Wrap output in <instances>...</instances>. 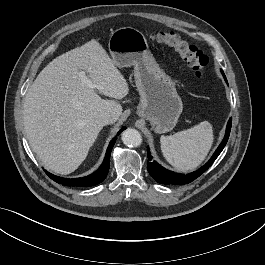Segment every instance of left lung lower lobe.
I'll return each instance as SVG.
<instances>
[{
	"mask_svg": "<svg viewBox=\"0 0 265 265\" xmlns=\"http://www.w3.org/2000/svg\"><path fill=\"white\" fill-rule=\"evenodd\" d=\"M223 77L226 80V77L222 71ZM227 81V80H226ZM232 125V118L229 119L226 127V133L225 136L220 143L219 147L216 149L215 153L211 157V159L200 169H198L195 172H192L190 174L184 175V174H178L174 173L172 171H169L159 165L156 161L152 160L151 154L149 152L148 148V163H147V169L150 175L158 182L162 184H188L198 178L202 173H204L216 160V158L219 156V154L222 152L223 148L225 147L231 130Z\"/></svg>",
	"mask_w": 265,
	"mask_h": 265,
	"instance_id": "0a47b994",
	"label": "left lung lower lobe"
}]
</instances>
